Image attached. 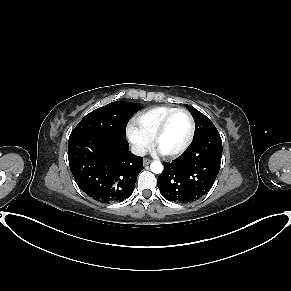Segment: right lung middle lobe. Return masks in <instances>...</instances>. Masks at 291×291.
<instances>
[{
  "label": "right lung middle lobe",
  "instance_id": "1",
  "mask_svg": "<svg viewBox=\"0 0 291 291\" xmlns=\"http://www.w3.org/2000/svg\"><path fill=\"white\" fill-rule=\"evenodd\" d=\"M138 109L121 101L109 103L87 114L72 130L70 137L84 134L125 137L127 123Z\"/></svg>",
  "mask_w": 291,
  "mask_h": 291
}]
</instances>
